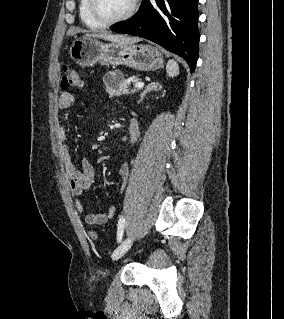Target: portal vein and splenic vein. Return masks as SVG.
Instances as JSON below:
<instances>
[{"label": "portal vein and splenic vein", "instance_id": "obj_1", "mask_svg": "<svg viewBox=\"0 0 284 319\" xmlns=\"http://www.w3.org/2000/svg\"><path fill=\"white\" fill-rule=\"evenodd\" d=\"M134 87H136V88H143V87H144V82H141V81L136 82V83L134 84Z\"/></svg>", "mask_w": 284, "mask_h": 319}]
</instances>
